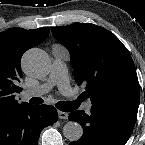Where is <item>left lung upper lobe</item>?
<instances>
[{"mask_svg":"<svg viewBox=\"0 0 145 145\" xmlns=\"http://www.w3.org/2000/svg\"><path fill=\"white\" fill-rule=\"evenodd\" d=\"M52 33L68 49L75 81L86 86L92 105L139 106L133 60L114 34L90 23L53 27Z\"/></svg>","mask_w":145,"mask_h":145,"instance_id":"5c2ea615","label":"left lung upper lobe"}]
</instances>
